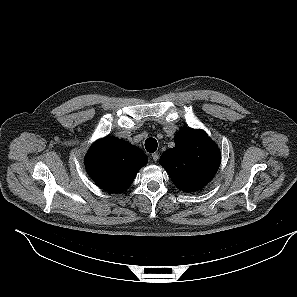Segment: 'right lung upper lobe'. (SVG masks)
Segmentation results:
<instances>
[{
	"label": "right lung upper lobe",
	"instance_id": "cb5924a9",
	"mask_svg": "<svg viewBox=\"0 0 297 297\" xmlns=\"http://www.w3.org/2000/svg\"><path fill=\"white\" fill-rule=\"evenodd\" d=\"M147 161V155L137 146L121 139L105 137L89 149L85 167L100 188L121 193L128 189Z\"/></svg>",
	"mask_w": 297,
	"mask_h": 297
}]
</instances>
